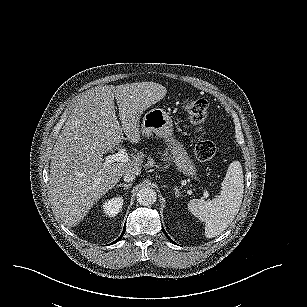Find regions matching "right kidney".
<instances>
[{
    "label": "right kidney",
    "instance_id": "obj_1",
    "mask_svg": "<svg viewBox=\"0 0 307 307\" xmlns=\"http://www.w3.org/2000/svg\"><path fill=\"white\" fill-rule=\"evenodd\" d=\"M123 197H114L102 203V210L105 216L115 217L122 209Z\"/></svg>",
    "mask_w": 307,
    "mask_h": 307
}]
</instances>
